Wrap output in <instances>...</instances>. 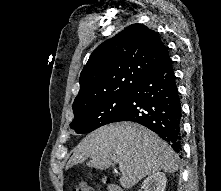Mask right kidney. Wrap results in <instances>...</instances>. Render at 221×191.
<instances>
[{
	"instance_id": "right-kidney-1",
	"label": "right kidney",
	"mask_w": 221,
	"mask_h": 191,
	"mask_svg": "<svg viewBox=\"0 0 221 191\" xmlns=\"http://www.w3.org/2000/svg\"><path fill=\"white\" fill-rule=\"evenodd\" d=\"M167 178L163 172L148 176L142 184L141 191H165Z\"/></svg>"
}]
</instances>
